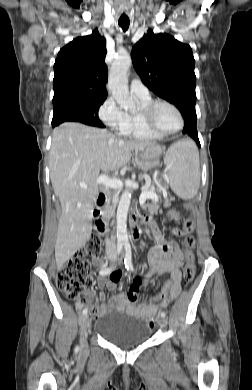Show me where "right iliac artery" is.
Instances as JSON below:
<instances>
[{"instance_id":"82829eb1","label":"right iliac artery","mask_w":252,"mask_h":390,"mask_svg":"<svg viewBox=\"0 0 252 390\" xmlns=\"http://www.w3.org/2000/svg\"><path fill=\"white\" fill-rule=\"evenodd\" d=\"M122 248H123V245H122V244H119V245L117 246V252H118V254L121 253ZM112 269H113V267H110V268H103V269L100 270V274H101V275H107V274H109V273L111 272ZM82 314H83V315H86V314H87V309H83ZM77 349H78V348H77Z\"/></svg>"}]
</instances>
